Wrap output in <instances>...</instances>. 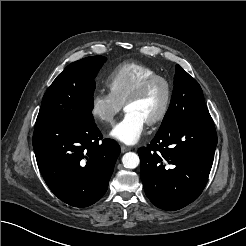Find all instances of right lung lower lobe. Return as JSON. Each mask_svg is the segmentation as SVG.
<instances>
[{"label": "right lung lower lobe", "mask_w": 246, "mask_h": 246, "mask_svg": "<svg viewBox=\"0 0 246 246\" xmlns=\"http://www.w3.org/2000/svg\"><path fill=\"white\" fill-rule=\"evenodd\" d=\"M100 140L102 134L93 122H36L33 148L39 170L63 202L87 207L107 191L120 147L111 139Z\"/></svg>", "instance_id": "1"}]
</instances>
